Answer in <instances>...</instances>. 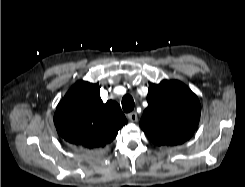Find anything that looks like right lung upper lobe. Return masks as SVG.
I'll return each mask as SVG.
<instances>
[{
	"label": "right lung upper lobe",
	"mask_w": 245,
	"mask_h": 187,
	"mask_svg": "<svg viewBox=\"0 0 245 187\" xmlns=\"http://www.w3.org/2000/svg\"><path fill=\"white\" fill-rule=\"evenodd\" d=\"M127 119L120 106L100 98L99 87L77 82L59 102L54 124L58 134L72 147L99 150L111 143Z\"/></svg>",
	"instance_id": "cb5924a9"
}]
</instances>
